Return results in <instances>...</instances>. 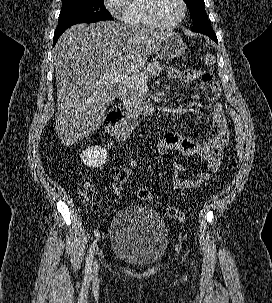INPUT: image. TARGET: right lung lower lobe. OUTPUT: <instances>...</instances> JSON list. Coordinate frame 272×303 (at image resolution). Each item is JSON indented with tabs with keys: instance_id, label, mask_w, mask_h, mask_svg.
Masks as SVG:
<instances>
[{
	"instance_id": "obj_1",
	"label": "right lung lower lobe",
	"mask_w": 272,
	"mask_h": 303,
	"mask_svg": "<svg viewBox=\"0 0 272 303\" xmlns=\"http://www.w3.org/2000/svg\"><path fill=\"white\" fill-rule=\"evenodd\" d=\"M64 31L62 32H58V33H54V38H53V46H55L58 38L60 37V35L63 33Z\"/></svg>"
}]
</instances>
